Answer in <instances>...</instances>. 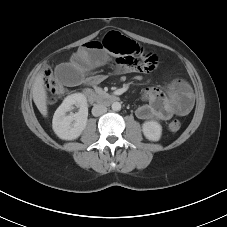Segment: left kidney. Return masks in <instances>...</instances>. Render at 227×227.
<instances>
[{"label": "left kidney", "instance_id": "5707ae66", "mask_svg": "<svg viewBox=\"0 0 227 227\" xmlns=\"http://www.w3.org/2000/svg\"><path fill=\"white\" fill-rule=\"evenodd\" d=\"M144 136L150 141H159L162 134V126L156 121H146L142 125Z\"/></svg>", "mask_w": 227, "mask_h": 227}]
</instances>
